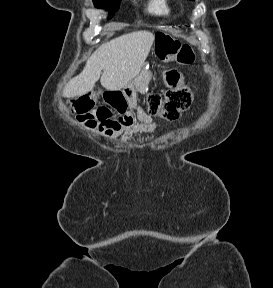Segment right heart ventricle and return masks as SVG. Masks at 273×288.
I'll return each instance as SVG.
<instances>
[{"label":"right heart ventricle","mask_w":273,"mask_h":288,"mask_svg":"<svg viewBox=\"0 0 273 288\" xmlns=\"http://www.w3.org/2000/svg\"><path fill=\"white\" fill-rule=\"evenodd\" d=\"M148 11L155 15H167L170 10L167 0H150Z\"/></svg>","instance_id":"1"}]
</instances>
